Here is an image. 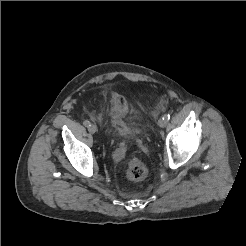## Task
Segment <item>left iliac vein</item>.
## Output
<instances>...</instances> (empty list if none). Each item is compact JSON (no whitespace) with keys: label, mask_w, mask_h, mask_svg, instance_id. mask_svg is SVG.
I'll list each match as a JSON object with an SVG mask.
<instances>
[{"label":"left iliac vein","mask_w":246,"mask_h":246,"mask_svg":"<svg viewBox=\"0 0 246 246\" xmlns=\"http://www.w3.org/2000/svg\"><path fill=\"white\" fill-rule=\"evenodd\" d=\"M166 124H167V121H165L163 118L158 120V125L161 128H164L166 126Z\"/></svg>","instance_id":"left-iliac-vein-1"}]
</instances>
